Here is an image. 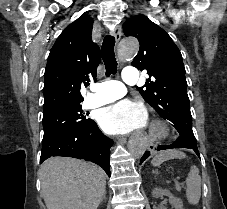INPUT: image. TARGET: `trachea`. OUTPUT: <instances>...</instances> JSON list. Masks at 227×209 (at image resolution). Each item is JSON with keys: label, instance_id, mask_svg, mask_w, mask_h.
Here are the masks:
<instances>
[{"label": "trachea", "instance_id": "1", "mask_svg": "<svg viewBox=\"0 0 227 209\" xmlns=\"http://www.w3.org/2000/svg\"><path fill=\"white\" fill-rule=\"evenodd\" d=\"M115 38L112 35H106L102 43L101 54L106 68V76L117 73V61L114 53Z\"/></svg>", "mask_w": 227, "mask_h": 209}]
</instances>
